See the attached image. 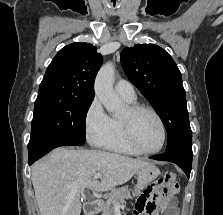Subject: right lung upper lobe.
Masks as SVG:
<instances>
[{
  "label": "right lung upper lobe",
  "instance_id": "1",
  "mask_svg": "<svg viewBox=\"0 0 223 215\" xmlns=\"http://www.w3.org/2000/svg\"><path fill=\"white\" fill-rule=\"evenodd\" d=\"M101 64L102 56L95 46L79 42L65 46L48 66L38 97L92 101L94 80Z\"/></svg>",
  "mask_w": 223,
  "mask_h": 215
}]
</instances>
